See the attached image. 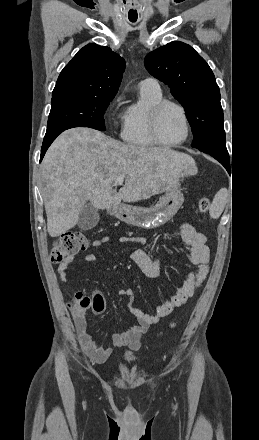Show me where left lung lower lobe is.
Instances as JSON below:
<instances>
[{"mask_svg":"<svg viewBox=\"0 0 259 440\" xmlns=\"http://www.w3.org/2000/svg\"><path fill=\"white\" fill-rule=\"evenodd\" d=\"M196 149L213 156L227 170L230 169L229 154L226 149V146H208V147H200Z\"/></svg>","mask_w":259,"mask_h":440,"instance_id":"0a47b994","label":"left lung lower lobe"}]
</instances>
